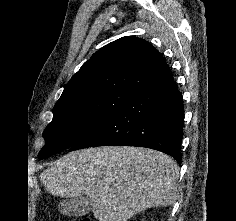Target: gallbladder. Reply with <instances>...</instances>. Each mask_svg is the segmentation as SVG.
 <instances>
[{
  "instance_id": "bac80fb5",
  "label": "gallbladder",
  "mask_w": 236,
  "mask_h": 221,
  "mask_svg": "<svg viewBox=\"0 0 236 221\" xmlns=\"http://www.w3.org/2000/svg\"><path fill=\"white\" fill-rule=\"evenodd\" d=\"M92 199L84 196L68 198L59 203V211L65 216H83L92 210Z\"/></svg>"
}]
</instances>
